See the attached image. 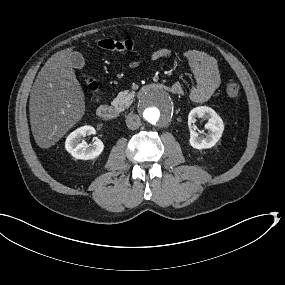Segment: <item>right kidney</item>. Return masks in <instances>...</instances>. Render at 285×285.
Instances as JSON below:
<instances>
[{"instance_id": "right-kidney-1", "label": "right kidney", "mask_w": 285, "mask_h": 285, "mask_svg": "<svg viewBox=\"0 0 285 285\" xmlns=\"http://www.w3.org/2000/svg\"><path fill=\"white\" fill-rule=\"evenodd\" d=\"M96 134V130L92 126H82L69 134L65 141L66 150L76 159L90 160L98 157L104 149L103 142L94 138V143L88 145L85 142L80 143L82 137L86 135Z\"/></svg>"}]
</instances>
